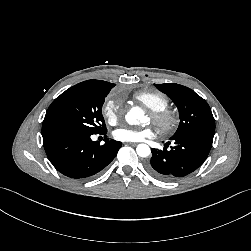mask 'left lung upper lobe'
Returning a JSON list of instances; mask_svg holds the SVG:
<instances>
[{"label": "left lung upper lobe", "mask_w": 251, "mask_h": 251, "mask_svg": "<svg viewBox=\"0 0 251 251\" xmlns=\"http://www.w3.org/2000/svg\"><path fill=\"white\" fill-rule=\"evenodd\" d=\"M154 85L166 93L179 109V127L171 139L190 134L214 136L215 120L209 105L203 98L190 88L179 84Z\"/></svg>", "instance_id": "obj_1"}]
</instances>
